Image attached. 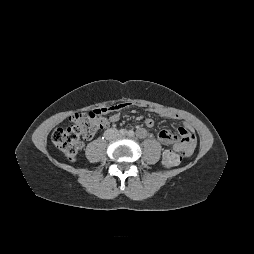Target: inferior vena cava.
<instances>
[{
	"instance_id": "obj_1",
	"label": "inferior vena cava",
	"mask_w": 254,
	"mask_h": 254,
	"mask_svg": "<svg viewBox=\"0 0 254 254\" xmlns=\"http://www.w3.org/2000/svg\"><path fill=\"white\" fill-rule=\"evenodd\" d=\"M104 136L107 140H112L117 138L119 136V133L116 129H109L105 131Z\"/></svg>"
}]
</instances>
